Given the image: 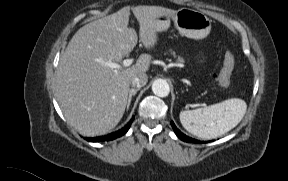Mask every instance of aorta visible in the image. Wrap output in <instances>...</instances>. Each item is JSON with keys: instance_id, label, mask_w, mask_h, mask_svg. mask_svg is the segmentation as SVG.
<instances>
[{"instance_id": "aorta-1", "label": "aorta", "mask_w": 288, "mask_h": 181, "mask_svg": "<svg viewBox=\"0 0 288 181\" xmlns=\"http://www.w3.org/2000/svg\"><path fill=\"white\" fill-rule=\"evenodd\" d=\"M152 91L158 97H166L169 95V84L164 79H156L152 84Z\"/></svg>"}]
</instances>
